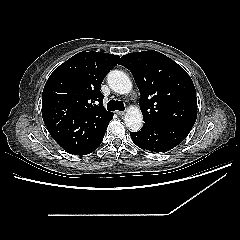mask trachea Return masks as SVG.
<instances>
[{"mask_svg":"<svg viewBox=\"0 0 240 240\" xmlns=\"http://www.w3.org/2000/svg\"><path fill=\"white\" fill-rule=\"evenodd\" d=\"M107 109L109 111H115V110L124 111L125 106H124V103L122 101L110 100L107 104Z\"/></svg>","mask_w":240,"mask_h":240,"instance_id":"obj_1","label":"trachea"}]
</instances>
